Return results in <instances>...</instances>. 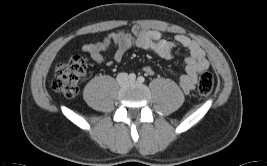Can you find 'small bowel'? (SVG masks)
<instances>
[{
	"label": "small bowel",
	"instance_id": "1",
	"mask_svg": "<svg viewBox=\"0 0 267 166\" xmlns=\"http://www.w3.org/2000/svg\"><path fill=\"white\" fill-rule=\"evenodd\" d=\"M175 42L162 39L160 32L142 26H134L132 32L118 31L109 34L103 40L95 43H88L82 46L92 61L97 64L104 63L106 57L104 52L114 47L113 59L120 61L125 53L132 47L147 50L163 59L172 58L175 43L187 48L189 56L186 58V72L179 78V85L186 93L195 87L199 72L208 68V61L200 45L184 34H177ZM148 74H153L151 67L144 68Z\"/></svg>",
	"mask_w": 267,
	"mask_h": 166
}]
</instances>
